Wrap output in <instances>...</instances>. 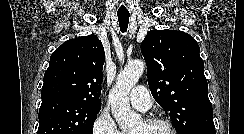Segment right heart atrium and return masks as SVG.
<instances>
[{"mask_svg": "<svg viewBox=\"0 0 244 134\" xmlns=\"http://www.w3.org/2000/svg\"><path fill=\"white\" fill-rule=\"evenodd\" d=\"M92 134H124L119 130L111 114L103 110L92 124Z\"/></svg>", "mask_w": 244, "mask_h": 134, "instance_id": "1", "label": "right heart atrium"}]
</instances>
